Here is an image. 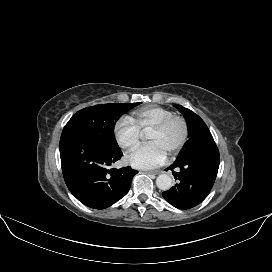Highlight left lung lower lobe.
Here are the masks:
<instances>
[{
	"instance_id": "1",
	"label": "left lung lower lobe",
	"mask_w": 272,
	"mask_h": 272,
	"mask_svg": "<svg viewBox=\"0 0 272 272\" xmlns=\"http://www.w3.org/2000/svg\"><path fill=\"white\" fill-rule=\"evenodd\" d=\"M216 144L196 149L177 160L166 170H172L177 183L162 193L165 200L178 209H190L209 194L219 168ZM178 169L179 171H175Z\"/></svg>"
}]
</instances>
